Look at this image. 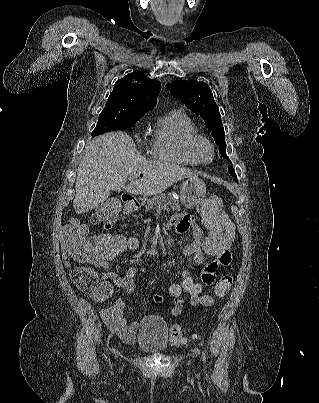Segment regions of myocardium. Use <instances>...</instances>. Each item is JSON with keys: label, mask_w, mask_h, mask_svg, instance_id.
<instances>
[{"label": "myocardium", "mask_w": 319, "mask_h": 403, "mask_svg": "<svg viewBox=\"0 0 319 403\" xmlns=\"http://www.w3.org/2000/svg\"><path fill=\"white\" fill-rule=\"evenodd\" d=\"M205 145L210 150V159L203 160L200 156V147ZM188 149L199 163H208L214 158L215 149L212 142L204 135L195 134L188 141Z\"/></svg>", "instance_id": "myocardium-1"}]
</instances>
